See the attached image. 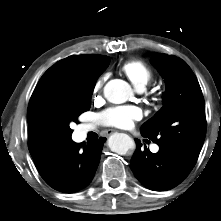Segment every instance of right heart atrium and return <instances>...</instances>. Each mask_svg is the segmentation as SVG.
Returning <instances> with one entry per match:
<instances>
[{
    "label": "right heart atrium",
    "instance_id": "1",
    "mask_svg": "<svg viewBox=\"0 0 221 221\" xmlns=\"http://www.w3.org/2000/svg\"><path fill=\"white\" fill-rule=\"evenodd\" d=\"M104 79L100 78L96 81L94 85V92H99L103 86Z\"/></svg>",
    "mask_w": 221,
    "mask_h": 221
}]
</instances>
